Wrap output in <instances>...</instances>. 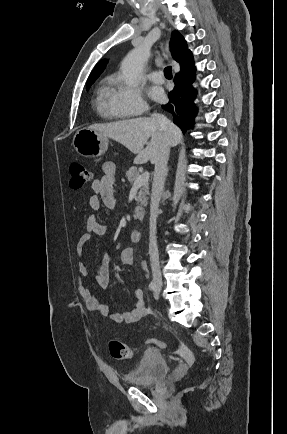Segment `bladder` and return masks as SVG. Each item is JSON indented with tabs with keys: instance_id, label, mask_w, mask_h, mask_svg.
<instances>
[{
	"instance_id": "31cf9c89",
	"label": "bladder",
	"mask_w": 287,
	"mask_h": 434,
	"mask_svg": "<svg viewBox=\"0 0 287 434\" xmlns=\"http://www.w3.org/2000/svg\"><path fill=\"white\" fill-rule=\"evenodd\" d=\"M170 371L167 359L158 352L146 353L126 375L125 380L136 387H152Z\"/></svg>"
}]
</instances>
